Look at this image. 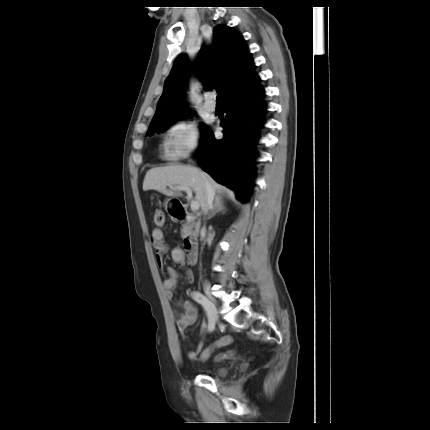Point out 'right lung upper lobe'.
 Masks as SVG:
<instances>
[{"instance_id": "1", "label": "right lung upper lobe", "mask_w": 430, "mask_h": 430, "mask_svg": "<svg viewBox=\"0 0 430 430\" xmlns=\"http://www.w3.org/2000/svg\"><path fill=\"white\" fill-rule=\"evenodd\" d=\"M254 68L242 35L226 25L215 27L212 46L202 49L196 60L197 75L204 89L208 91L219 88L217 91H221L222 101L243 80L256 76ZM189 70L188 59L179 56L165 80L164 90L150 126L185 111L182 90L185 75Z\"/></svg>"}]
</instances>
